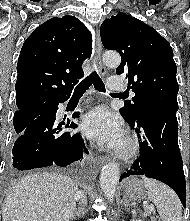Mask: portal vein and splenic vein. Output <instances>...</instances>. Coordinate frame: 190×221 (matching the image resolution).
Instances as JSON below:
<instances>
[{
	"mask_svg": "<svg viewBox=\"0 0 190 221\" xmlns=\"http://www.w3.org/2000/svg\"><path fill=\"white\" fill-rule=\"evenodd\" d=\"M153 209H154L153 207H149V210H150V211H153ZM152 221H155V220H152Z\"/></svg>",
	"mask_w": 190,
	"mask_h": 221,
	"instance_id": "obj_1",
	"label": "portal vein and splenic vein"
}]
</instances>
